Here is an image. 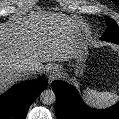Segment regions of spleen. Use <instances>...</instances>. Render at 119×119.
<instances>
[{
	"label": "spleen",
	"mask_w": 119,
	"mask_h": 119,
	"mask_svg": "<svg viewBox=\"0 0 119 119\" xmlns=\"http://www.w3.org/2000/svg\"><path fill=\"white\" fill-rule=\"evenodd\" d=\"M84 98L91 106L99 109L107 108L119 100V96L113 92H98L93 89L84 90Z\"/></svg>",
	"instance_id": "obj_1"
}]
</instances>
